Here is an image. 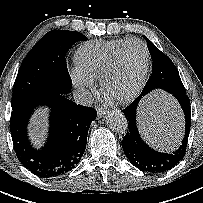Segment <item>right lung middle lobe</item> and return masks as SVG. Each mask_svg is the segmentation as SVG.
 <instances>
[{"mask_svg": "<svg viewBox=\"0 0 203 203\" xmlns=\"http://www.w3.org/2000/svg\"><path fill=\"white\" fill-rule=\"evenodd\" d=\"M87 37L79 32L52 30L29 51L19 69L13 94L12 109L50 93H69L72 81L66 66V53Z\"/></svg>", "mask_w": 203, "mask_h": 203, "instance_id": "1", "label": "right lung middle lobe"}]
</instances>
